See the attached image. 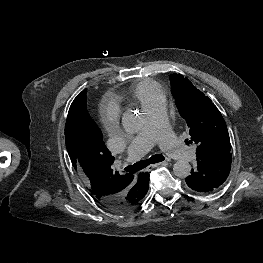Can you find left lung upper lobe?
<instances>
[{"instance_id":"1","label":"left lung upper lobe","mask_w":263,"mask_h":263,"mask_svg":"<svg viewBox=\"0 0 263 263\" xmlns=\"http://www.w3.org/2000/svg\"><path fill=\"white\" fill-rule=\"evenodd\" d=\"M170 81L177 109L189 129L190 142L197 144V158L230 152L226 123L212 101L181 74H172Z\"/></svg>"}]
</instances>
